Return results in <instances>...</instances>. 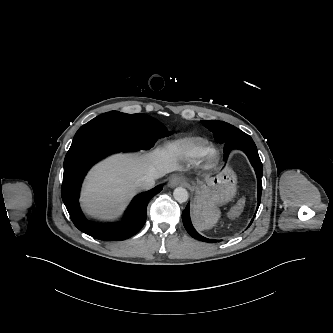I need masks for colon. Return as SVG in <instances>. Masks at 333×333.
<instances>
[{"label":"colon","instance_id":"obj_1","mask_svg":"<svg viewBox=\"0 0 333 333\" xmlns=\"http://www.w3.org/2000/svg\"><path fill=\"white\" fill-rule=\"evenodd\" d=\"M245 206V200L244 199H240L236 205L232 208L230 215L232 217H236L244 208Z\"/></svg>","mask_w":333,"mask_h":333}]
</instances>
